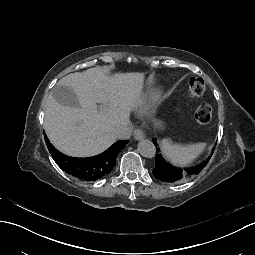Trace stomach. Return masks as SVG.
Listing matches in <instances>:
<instances>
[{"label":"stomach","instance_id":"1","mask_svg":"<svg viewBox=\"0 0 255 255\" xmlns=\"http://www.w3.org/2000/svg\"><path fill=\"white\" fill-rule=\"evenodd\" d=\"M161 125H162L161 121H156L155 122V126H160L161 127Z\"/></svg>","mask_w":255,"mask_h":255}]
</instances>
